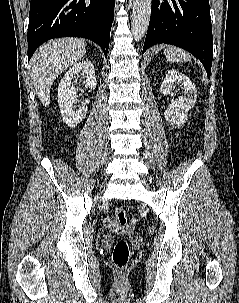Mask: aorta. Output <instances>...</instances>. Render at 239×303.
<instances>
[{
    "mask_svg": "<svg viewBox=\"0 0 239 303\" xmlns=\"http://www.w3.org/2000/svg\"><path fill=\"white\" fill-rule=\"evenodd\" d=\"M152 0H134L131 32L136 41L141 40L148 29Z\"/></svg>",
    "mask_w": 239,
    "mask_h": 303,
    "instance_id": "obj_1",
    "label": "aorta"
}]
</instances>
